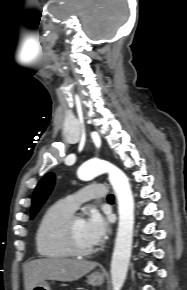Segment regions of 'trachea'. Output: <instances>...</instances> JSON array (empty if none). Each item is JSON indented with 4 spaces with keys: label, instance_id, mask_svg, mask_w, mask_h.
<instances>
[{
    "label": "trachea",
    "instance_id": "1",
    "mask_svg": "<svg viewBox=\"0 0 187 290\" xmlns=\"http://www.w3.org/2000/svg\"><path fill=\"white\" fill-rule=\"evenodd\" d=\"M113 199H114V195L113 194L108 195L107 200L112 201Z\"/></svg>",
    "mask_w": 187,
    "mask_h": 290
}]
</instances>
